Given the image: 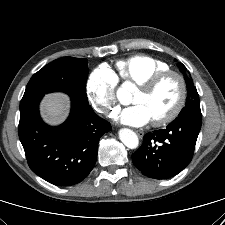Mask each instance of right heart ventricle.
Returning a JSON list of instances; mask_svg holds the SVG:
<instances>
[{
	"label": "right heart ventricle",
	"mask_w": 225,
	"mask_h": 225,
	"mask_svg": "<svg viewBox=\"0 0 225 225\" xmlns=\"http://www.w3.org/2000/svg\"><path fill=\"white\" fill-rule=\"evenodd\" d=\"M117 78L125 83L139 84L148 77L166 71L169 66L156 58L137 54L116 62Z\"/></svg>",
	"instance_id": "1"
}]
</instances>
